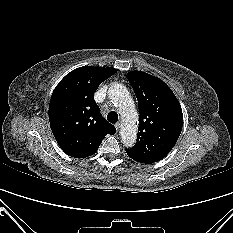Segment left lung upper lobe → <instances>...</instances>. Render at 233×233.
<instances>
[{
	"label": "left lung upper lobe",
	"instance_id": "1",
	"mask_svg": "<svg viewBox=\"0 0 233 233\" xmlns=\"http://www.w3.org/2000/svg\"><path fill=\"white\" fill-rule=\"evenodd\" d=\"M127 79L138 100L140 123L137 142L126 152L140 163L157 162L171 151L181 133L183 115L180 103L158 77L131 71Z\"/></svg>",
	"mask_w": 233,
	"mask_h": 233
}]
</instances>
